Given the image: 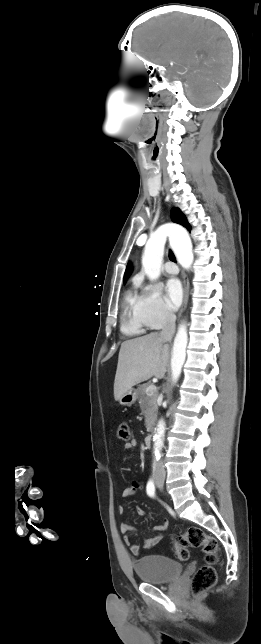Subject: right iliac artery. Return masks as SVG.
<instances>
[{
  "label": "right iliac artery",
  "mask_w": 261,
  "mask_h": 644,
  "mask_svg": "<svg viewBox=\"0 0 261 644\" xmlns=\"http://www.w3.org/2000/svg\"><path fill=\"white\" fill-rule=\"evenodd\" d=\"M146 492L150 497L155 496V485L153 479H150L146 486Z\"/></svg>",
  "instance_id": "82829eb1"
}]
</instances>
